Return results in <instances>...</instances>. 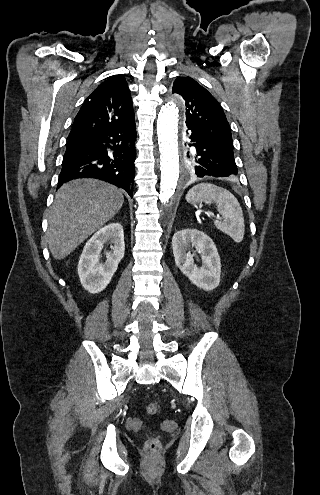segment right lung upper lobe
Returning <instances> with one entry per match:
<instances>
[{
    "instance_id": "cb5924a9",
    "label": "right lung upper lobe",
    "mask_w": 320,
    "mask_h": 495,
    "mask_svg": "<svg viewBox=\"0 0 320 495\" xmlns=\"http://www.w3.org/2000/svg\"><path fill=\"white\" fill-rule=\"evenodd\" d=\"M133 103L123 76L102 82L84 101L68 139L86 136L134 123Z\"/></svg>"
}]
</instances>
